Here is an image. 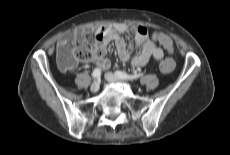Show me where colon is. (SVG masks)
<instances>
[{"mask_svg":"<svg viewBox=\"0 0 230 155\" xmlns=\"http://www.w3.org/2000/svg\"><path fill=\"white\" fill-rule=\"evenodd\" d=\"M100 50L93 51L88 47L71 46L70 44H60L56 53V61L61 69L71 70L77 62L92 60L95 54H100ZM175 62L171 58H164L160 62V69L164 73H171L175 69Z\"/></svg>","mask_w":230,"mask_h":155,"instance_id":"1","label":"colon"}]
</instances>
